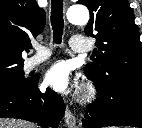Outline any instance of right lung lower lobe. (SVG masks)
Listing matches in <instances>:
<instances>
[{"label": "right lung lower lobe", "instance_id": "98d812e1", "mask_svg": "<svg viewBox=\"0 0 142 128\" xmlns=\"http://www.w3.org/2000/svg\"><path fill=\"white\" fill-rule=\"evenodd\" d=\"M39 77L10 91H0V118H19L57 128L65 113V104L55 92L41 93Z\"/></svg>", "mask_w": 142, "mask_h": 128}]
</instances>
